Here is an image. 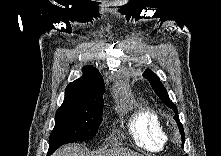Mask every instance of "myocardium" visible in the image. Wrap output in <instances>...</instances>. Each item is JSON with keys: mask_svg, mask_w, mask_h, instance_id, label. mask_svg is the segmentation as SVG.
<instances>
[{"mask_svg": "<svg viewBox=\"0 0 221 156\" xmlns=\"http://www.w3.org/2000/svg\"><path fill=\"white\" fill-rule=\"evenodd\" d=\"M175 138L179 139V134L178 133L175 134Z\"/></svg>", "mask_w": 221, "mask_h": 156, "instance_id": "f54148a6", "label": "myocardium"}]
</instances>
